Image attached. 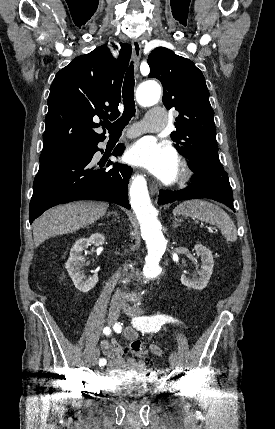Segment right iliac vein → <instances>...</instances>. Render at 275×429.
<instances>
[{
	"label": "right iliac vein",
	"mask_w": 275,
	"mask_h": 429,
	"mask_svg": "<svg viewBox=\"0 0 275 429\" xmlns=\"http://www.w3.org/2000/svg\"><path fill=\"white\" fill-rule=\"evenodd\" d=\"M121 308H122V305L120 303L111 304V306L109 308V313H108V324L109 325H114L117 322ZM99 355H100L99 350L95 349L93 351L92 358H91L93 366L97 365Z\"/></svg>",
	"instance_id": "right-iliac-vein-1"
}]
</instances>
